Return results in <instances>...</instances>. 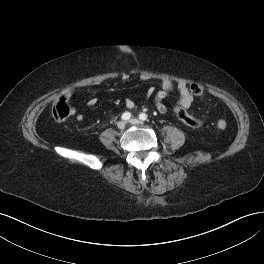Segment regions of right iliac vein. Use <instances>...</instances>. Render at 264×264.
Wrapping results in <instances>:
<instances>
[{"instance_id":"right-iliac-vein-1","label":"right iliac vein","mask_w":264,"mask_h":264,"mask_svg":"<svg viewBox=\"0 0 264 264\" xmlns=\"http://www.w3.org/2000/svg\"><path fill=\"white\" fill-rule=\"evenodd\" d=\"M125 126H126V123L123 122V121H120V122H118V124H117V127H118L120 130H123V129L125 128Z\"/></svg>"}]
</instances>
